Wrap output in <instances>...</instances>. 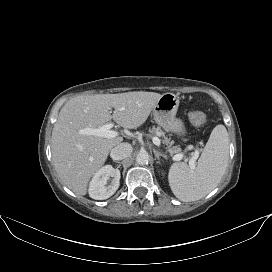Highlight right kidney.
I'll use <instances>...</instances> for the list:
<instances>
[{
    "label": "right kidney",
    "instance_id": "ca27d5eb",
    "mask_svg": "<svg viewBox=\"0 0 272 272\" xmlns=\"http://www.w3.org/2000/svg\"><path fill=\"white\" fill-rule=\"evenodd\" d=\"M120 177V171L111 165L100 168L89 184V196L95 200H105L111 197L119 188ZM108 181H110L109 184Z\"/></svg>",
    "mask_w": 272,
    "mask_h": 272
}]
</instances>
